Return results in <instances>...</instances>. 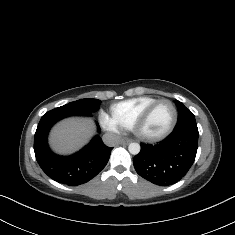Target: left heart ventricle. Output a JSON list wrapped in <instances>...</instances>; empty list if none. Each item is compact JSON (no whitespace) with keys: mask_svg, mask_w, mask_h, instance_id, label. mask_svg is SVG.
<instances>
[{"mask_svg":"<svg viewBox=\"0 0 235 235\" xmlns=\"http://www.w3.org/2000/svg\"><path fill=\"white\" fill-rule=\"evenodd\" d=\"M174 116L173 106L168 102L160 103L153 111L150 120L143 127L144 135H158L166 131Z\"/></svg>","mask_w":235,"mask_h":235,"instance_id":"1","label":"left heart ventricle"}]
</instances>
